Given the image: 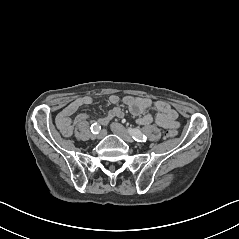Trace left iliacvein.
Masks as SVG:
<instances>
[{"label":"left iliac vein","instance_id":"4c4485c4","mask_svg":"<svg viewBox=\"0 0 239 239\" xmlns=\"http://www.w3.org/2000/svg\"><path fill=\"white\" fill-rule=\"evenodd\" d=\"M111 130L114 134L118 135L124 141H126V142L133 141V139H132L131 135L128 133V131L119 123H112Z\"/></svg>","mask_w":239,"mask_h":239}]
</instances>
